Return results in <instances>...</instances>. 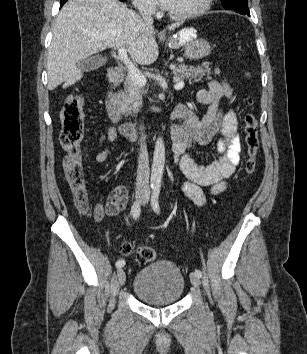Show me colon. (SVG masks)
<instances>
[{"mask_svg": "<svg viewBox=\"0 0 307 354\" xmlns=\"http://www.w3.org/2000/svg\"><path fill=\"white\" fill-rule=\"evenodd\" d=\"M83 98L73 93L66 97L61 111V145L66 151L64 169L68 184L74 196L77 209L87 212L91 208L90 199L86 190L83 164L81 160V142L83 138L84 113ZM251 104V102H250ZM245 145L248 159L246 171L253 174L257 167V154L259 149L257 120L253 113L249 112L244 118ZM97 217L101 216L99 209ZM120 252L124 256L134 254L137 262L144 264L156 259L157 252L151 246H139L134 248L130 243L122 244Z\"/></svg>", "mask_w": 307, "mask_h": 354, "instance_id": "1", "label": "colon"}]
</instances>
